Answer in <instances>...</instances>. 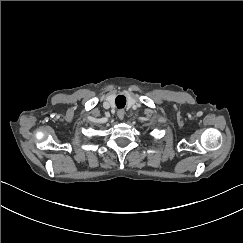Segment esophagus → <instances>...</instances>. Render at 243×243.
I'll return each mask as SVG.
<instances>
[{"label": "esophagus", "mask_w": 243, "mask_h": 243, "mask_svg": "<svg viewBox=\"0 0 243 243\" xmlns=\"http://www.w3.org/2000/svg\"><path fill=\"white\" fill-rule=\"evenodd\" d=\"M125 111L124 110H118L117 111V116L120 120L124 119Z\"/></svg>", "instance_id": "esophagus-1"}]
</instances>
